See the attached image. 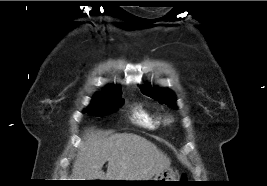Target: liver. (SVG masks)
Returning a JSON list of instances; mask_svg holds the SVG:
<instances>
[{"label": "liver", "instance_id": "1", "mask_svg": "<svg viewBox=\"0 0 267 186\" xmlns=\"http://www.w3.org/2000/svg\"><path fill=\"white\" fill-rule=\"evenodd\" d=\"M73 163V180L146 181L168 168L170 159L147 139L132 133L102 137L90 130ZM108 162L107 172L102 171Z\"/></svg>", "mask_w": 267, "mask_h": 186}]
</instances>
